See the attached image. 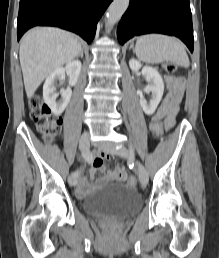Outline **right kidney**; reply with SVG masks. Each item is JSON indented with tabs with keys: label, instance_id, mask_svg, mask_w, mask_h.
<instances>
[{
	"label": "right kidney",
	"instance_id": "ca27d5eb",
	"mask_svg": "<svg viewBox=\"0 0 219 258\" xmlns=\"http://www.w3.org/2000/svg\"><path fill=\"white\" fill-rule=\"evenodd\" d=\"M81 62L79 60H74L66 64L65 67H60L54 70L47 78L43 86V99L44 102L48 105L51 111L55 115H60L63 113L65 108L67 107L71 95L72 90L70 86H74L77 83L80 71H81ZM68 73L70 76L69 79V87L62 91L61 100L59 102L56 101L58 97V93H55L56 80H63L65 78V73Z\"/></svg>",
	"mask_w": 219,
	"mask_h": 258
}]
</instances>
